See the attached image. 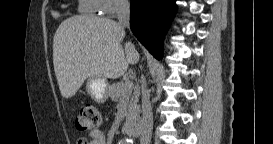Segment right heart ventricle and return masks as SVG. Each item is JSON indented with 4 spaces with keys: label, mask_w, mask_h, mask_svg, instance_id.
Segmentation results:
<instances>
[{
    "label": "right heart ventricle",
    "mask_w": 273,
    "mask_h": 144,
    "mask_svg": "<svg viewBox=\"0 0 273 144\" xmlns=\"http://www.w3.org/2000/svg\"><path fill=\"white\" fill-rule=\"evenodd\" d=\"M79 10L86 15H95L98 12L97 0H82Z\"/></svg>",
    "instance_id": "1"
}]
</instances>
